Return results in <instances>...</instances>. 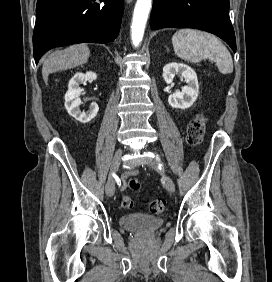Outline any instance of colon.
I'll use <instances>...</instances> for the list:
<instances>
[{
	"instance_id": "obj_1",
	"label": "colon",
	"mask_w": 272,
	"mask_h": 282,
	"mask_svg": "<svg viewBox=\"0 0 272 282\" xmlns=\"http://www.w3.org/2000/svg\"><path fill=\"white\" fill-rule=\"evenodd\" d=\"M207 120L204 116L199 115L193 119L188 125L186 140L190 146H198L205 133ZM128 185L131 189L137 190L140 187V183L137 179L131 178L128 180ZM133 200L129 196H123L121 198V207L123 209H131L133 207ZM166 202L164 199H154L149 202V210L154 215H160L165 211Z\"/></svg>"
}]
</instances>
